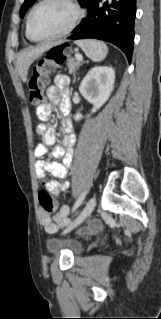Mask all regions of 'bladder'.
<instances>
[{"label": "bladder", "mask_w": 161, "mask_h": 319, "mask_svg": "<svg viewBox=\"0 0 161 319\" xmlns=\"http://www.w3.org/2000/svg\"><path fill=\"white\" fill-rule=\"evenodd\" d=\"M47 246L53 253L67 252L76 256L83 252L82 243L72 238L53 236L47 240Z\"/></svg>", "instance_id": "31cf9c89"}]
</instances>
